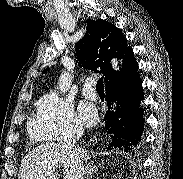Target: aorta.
I'll use <instances>...</instances> for the list:
<instances>
[{
    "mask_svg": "<svg viewBox=\"0 0 183 179\" xmlns=\"http://www.w3.org/2000/svg\"><path fill=\"white\" fill-rule=\"evenodd\" d=\"M72 77L69 73L63 72L59 78L58 86L60 92L65 94L71 86Z\"/></svg>",
    "mask_w": 183,
    "mask_h": 179,
    "instance_id": "aorta-1",
    "label": "aorta"
}]
</instances>
